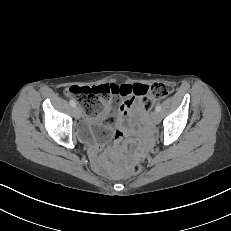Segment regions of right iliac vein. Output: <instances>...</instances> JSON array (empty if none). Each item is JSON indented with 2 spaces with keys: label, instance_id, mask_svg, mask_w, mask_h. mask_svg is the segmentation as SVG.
Segmentation results:
<instances>
[{
  "label": "right iliac vein",
  "instance_id": "right-iliac-vein-1",
  "mask_svg": "<svg viewBox=\"0 0 231 231\" xmlns=\"http://www.w3.org/2000/svg\"><path fill=\"white\" fill-rule=\"evenodd\" d=\"M73 113L76 119H80L82 116V111L79 107H74Z\"/></svg>",
  "mask_w": 231,
  "mask_h": 231
}]
</instances>
